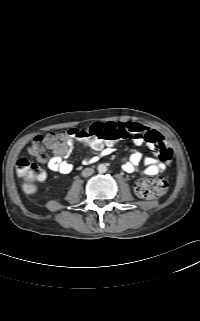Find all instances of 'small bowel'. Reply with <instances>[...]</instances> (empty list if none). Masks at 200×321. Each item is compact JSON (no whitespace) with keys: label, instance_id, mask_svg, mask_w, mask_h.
Here are the masks:
<instances>
[{"label":"small bowel","instance_id":"obj_1","mask_svg":"<svg viewBox=\"0 0 200 321\" xmlns=\"http://www.w3.org/2000/svg\"><path fill=\"white\" fill-rule=\"evenodd\" d=\"M99 125L104 128H112L120 131L123 135V139H130L137 146L146 144L151 149V156H143L137 151L129 153L123 159L122 165V168L126 173L139 171L143 175L154 176L166 169V166L170 161L164 160V157L169 151L172 152V150L168 146L164 136L157 130L137 122H108ZM74 130H76V128H71L69 131L73 132ZM73 137L74 136L69 137L64 150H54V155L52 157H46L41 162L46 163L51 171L65 175L70 174L73 171V165L65 160L64 157L68 152V147L71 138ZM113 143L114 142H107L99 148H93L94 152L101 155H107L110 153Z\"/></svg>","mask_w":200,"mask_h":321}]
</instances>
